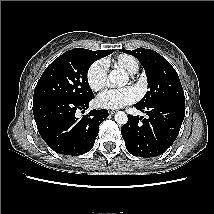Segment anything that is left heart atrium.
<instances>
[{"label": "left heart atrium", "instance_id": "left-heart-atrium-1", "mask_svg": "<svg viewBox=\"0 0 214 214\" xmlns=\"http://www.w3.org/2000/svg\"><path fill=\"white\" fill-rule=\"evenodd\" d=\"M138 98L137 90L132 87L109 89L97 97V104L102 108L117 109L135 102Z\"/></svg>", "mask_w": 214, "mask_h": 214}]
</instances>
